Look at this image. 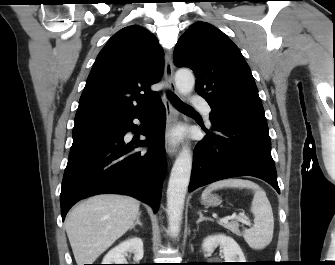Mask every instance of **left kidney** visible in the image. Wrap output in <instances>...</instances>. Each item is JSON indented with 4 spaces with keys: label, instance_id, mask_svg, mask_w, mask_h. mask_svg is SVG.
I'll list each match as a JSON object with an SVG mask.
<instances>
[{
    "label": "left kidney",
    "instance_id": "left-kidney-1",
    "mask_svg": "<svg viewBox=\"0 0 335 265\" xmlns=\"http://www.w3.org/2000/svg\"><path fill=\"white\" fill-rule=\"evenodd\" d=\"M218 245L223 249L225 262H246L244 254L237 242L230 236L217 234L208 236L203 240L204 252H212Z\"/></svg>",
    "mask_w": 335,
    "mask_h": 265
}]
</instances>
